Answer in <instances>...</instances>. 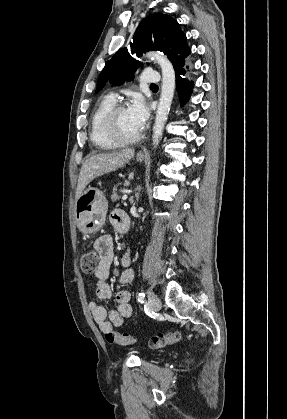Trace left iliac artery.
<instances>
[{
  "label": "left iliac artery",
  "mask_w": 287,
  "mask_h": 419,
  "mask_svg": "<svg viewBox=\"0 0 287 419\" xmlns=\"http://www.w3.org/2000/svg\"><path fill=\"white\" fill-rule=\"evenodd\" d=\"M138 302L141 303V304H144V302H145V294L143 292H140L138 294Z\"/></svg>",
  "instance_id": "44dca946"
}]
</instances>
